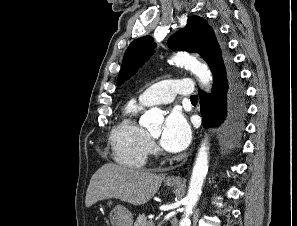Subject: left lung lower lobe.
Returning <instances> with one entry per match:
<instances>
[{"mask_svg":"<svg viewBox=\"0 0 297 226\" xmlns=\"http://www.w3.org/2000/svg\"><path fill=\"white\" fill-rule=\"evenodd\" d=\"M214 78L209 99L200 92V107L205 125L223 124L224 136L230 146H237L244 130L246 116L245 92L232 61Z\"/></svg>","mask_w":297,"mask_h":226,"instance_id":"obj_1","label":"left lung lower lobe"}]
</instances>
